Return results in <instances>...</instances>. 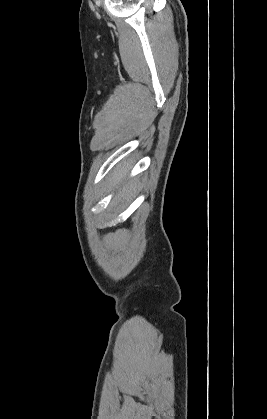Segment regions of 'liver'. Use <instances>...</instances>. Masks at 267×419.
I'll return each mask as SVG.
<instances>
[{
  "instance_id": "obj_1",
  "label": "liver",
  "mask_w": 267,
  "mask_h": 419,
  "mask_svg": "<svg viewBox=\"0 0 267 419\" xmlns=\"http://www.w3.org/2000/svg\"><path fill=\"white\" fill-rule=\"evenodd\" d=\"M126 174V170H121L118 174H116L115 181L118 183L122 177Z\"/></svg>"
}]
</instances>
